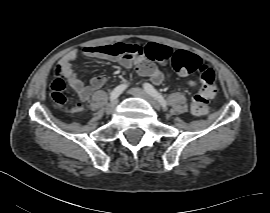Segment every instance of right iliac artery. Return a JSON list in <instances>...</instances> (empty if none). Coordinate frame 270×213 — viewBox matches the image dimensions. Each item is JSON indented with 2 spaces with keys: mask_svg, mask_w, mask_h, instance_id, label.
I'll return each instance as SVG.
<instances>
[{
  "mask_svg": "<svg viewBox=\"0 0 270 213\" xmlns=\"http://www.w3.org/2000/svg\"><path fill=\"white\" fill-rule=\"evenodd\" d=\"M127 84H121L117 86L110 94V101H114L118 96L127 88Z\"/></svg>",
  "mask_w": 270,
  "mask_h": 213,
  "instance_id": "82829eb1",
  "label": "right iliac artery"
}]
</instances>
